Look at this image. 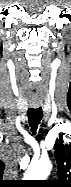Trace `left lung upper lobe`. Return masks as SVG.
<instances>
[{"label": "left lung upper lobe", "instance_id": "5c2ea615", "mask_svg": "<svg viewBox=\"0 0 71 187\" xmlns=\"http://www.w3.org/2000/svg\"><path fill=\"white\" fill-rule=\"evenodd\" d=\"M55 158L58 164L59 180L54 181L59 187H70L71 185V144H63L59 139L55 145Z\"/></svg>", "mask_w": 71, "mask_h": 187}]
</instances>
